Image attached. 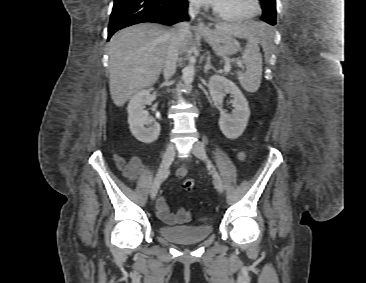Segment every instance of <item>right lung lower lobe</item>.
<instances>
[{"instance_id":"right-lung-lower-lobe-1","label":"right lung lower lobe","mask_w":366,"mask_h":283,"mask_svg":"<svg viewBox=\"0 0 366 283\" xmlns=\"http://www.w3.org/2000/svg\"><path fill=\"white\" fill-rule=\"evenodd\" d=\"M187 0H114L108 39L114 32L143 22L173 25L188 20Z\"/></svg>"}]
</instances>
